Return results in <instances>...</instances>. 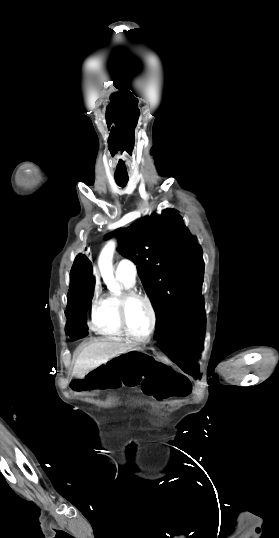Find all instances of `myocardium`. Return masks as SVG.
Instances as JSON below:
<instances>
[{"instance_id":"obj_1","label":"myocardium","mask_w":279,"mask_h":538,"mask_svg":"<svg viewBox=\"0 0 279 538\" xmlns=\"http://www.w3.org/2000/svg\"><path fill=\"white\" fill-rule=\"evenodd\" d=\"M136 300L143 301L148 306V308L150 310V313H151L150 329H149L148 333L146 335H144V336H137V335L133 334L130 331L128 323H127V309L129 307V305L133 301H136ZM118 319H119L120 326L123 329L124 333L129 338H131L132 340H134L136 342H140V343L147 342L153 336V334L156 331L157 313H156V309H155V306H154L151 298L146 294L137 292V291L132 290V289L123 292L120 299H119Z\"/></svg>"}]
</instances>
